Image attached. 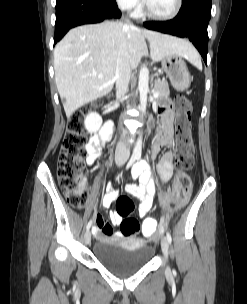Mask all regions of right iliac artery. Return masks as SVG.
Listing matches in <instances>:
<instances>
[{
  "mask_svg": "<svg viewBox=\"0 0 247 304\" xmlns=\"http://www.w3.org/2000/svg\"><path fill=\"white\" fill-rule=\"evenodd\" d=\"M135 160H136V157H135V156H132L131 159L129 160V162L127 163V165H126V169H129V168L133 165V163L135 162ZM92 223H93V219H91V220L88 222V224H87V226H86V230H89V229H90Z\"/></svg>",
  "mask_w": 247,
  "mask_h": 304,
  "instance_id": "82829eb1",
  "label": "right iliac artery"
}]
</instances>
